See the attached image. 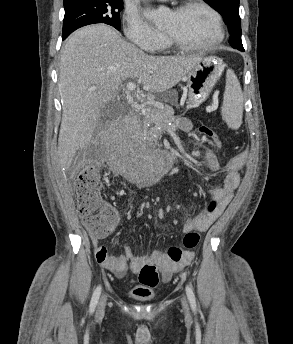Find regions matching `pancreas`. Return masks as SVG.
Listing matches in <instances>:
<instances>
[{
  "mask_svg": "<svg viewBox=\"0 0 293 344\" xmlns=\"http://www.w3.org/2000/svg\"><path fill=\"white\" fill-rule=\"evenodd\" d=\"M141 115L142 120L136 123L134 129L122 128L119 130V136L121 139L127 138L128 135L133 134V131L147 135L149 131L152 130L155 134L159 135L163 130H165V127L169 122L173 123L176 127H180V120L173 115L172 109L167 105L161 109L146 110L145 113ZM153 125L161 127V129L158 130L157 128H152Z\"/></svg>",
  "mask_w": 293,
  "mask_h": 344,
  "instance_id": "pancreas-1",
  "label": "pancreas"
}]
</instances>
